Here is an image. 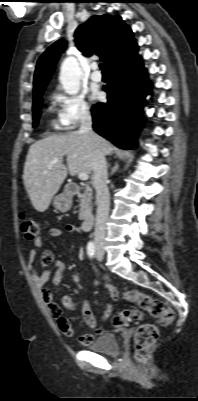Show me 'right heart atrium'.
<instances>
[{
    "mask_svg": "<svg viewBox=\"0 0 198 401\" xmlns=\"http://www.w3.org/2000/svg\"><path fill=\"white\" fill-rule=\"evenodd\" d=\"M52 100L57 106V124L62 129H74L92 116L91 105L82 95H69L56 89Z\"/></svg>",
    "mask_w": 198,
    "mask_h": 401,
    "instance_id": "obj_1",
    "label": "right heart atrium"
}]
</instances>
